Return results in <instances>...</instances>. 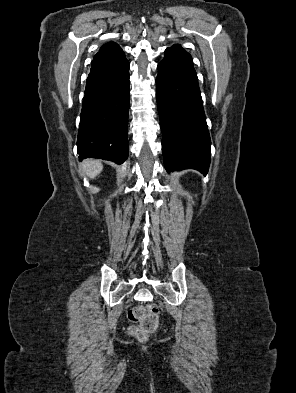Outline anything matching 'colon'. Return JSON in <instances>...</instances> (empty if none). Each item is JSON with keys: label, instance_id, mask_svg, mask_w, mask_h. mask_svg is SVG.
<instances>
[{"label": "colon", "instance_id": "obj_1", "mask_svg": "<svg viewBox=\"0 0 296 393\" xmlns=\"http://www.w3.org/2000/svg\"><path fill=\"white\" fill-rule=\"evenodd\" d=\"M158 314L159 308L155 304L138 305L131 308L128 311V318L138 325L130 326L129 333L138 339H146L158 328Z\"/></svg>", "mask_w": 296, "mask_h": 393}]
</instances>
